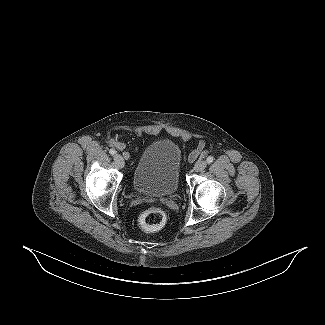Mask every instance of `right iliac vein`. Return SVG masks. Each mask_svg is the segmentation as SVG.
Returning a JSON list of instances; mask_svg holds the SVG:
<instances>
[{
  "label": "right iliac vein",
  "instance_id": "1",
  "mask_svg": "<svg viewBox=\"0 0 325 325\" xmlns=\"http://www.w3.org/2000/svg\"><path fill=\"white\" fill-rule=\"evenodd\" d=\"M114 161L119 168H123L125 165L124 159L120 154L114 155Z\"/></svg>",
  "mask_w": 325,
  "mask_h": 325
}]
</instances>
